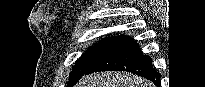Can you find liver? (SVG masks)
<instances>
[{
    "mask_svg": "<svg viewBox=\"0 0 205 87\" xmlns=\"http://www.w3.org/2000/svg\"><path fill=\"white\" fill-rule=\"evenodd\" d=\"M75 87H154L145 78L126 72H98L84 76Z\"/></svg>",
    "mask_w": 205,
    "mask_h": 87,
    "instance_id": "liver-1",
    "label": "liver"
}]
</instances>
